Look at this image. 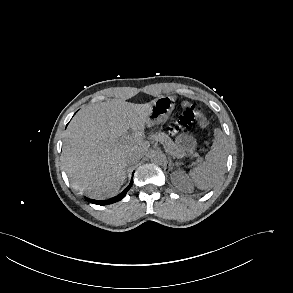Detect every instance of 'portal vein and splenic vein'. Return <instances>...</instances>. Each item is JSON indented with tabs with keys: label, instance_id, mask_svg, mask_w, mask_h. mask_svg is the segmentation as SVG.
Wrapping results in <instances>:
<instances>
[{
	"label": "portal vein and splenic vein",
	"instance_id": "18ae733b",
	"mask_svg": "<svg viewBox=\"0 0 293 293\" xmlns=\"http://www.w3.org/2000/svg\"><path fill=\"white\" fill-rule=\"evenodd\" d=\"M133 138H134V137L127 136V137H125V139H123V140H125V141H131V140H133Z\"/></svg>",
	"mask_w": 293,
	"mask_h": 293
}]
</instances>
